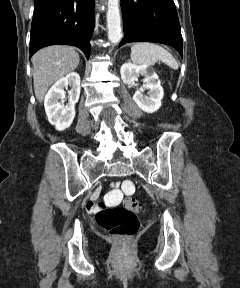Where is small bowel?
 Here are the masks:
<instances>
[{"label":"small bowel","instance_id":"1","mask_svg":"<svg viewBox=\"0 0 240 288\" xmlns=\"http://www.w3.org/2000/svg\"><path fill=\"white\" fill-rule=\"evenodd\" d=\"M89 209H90V210H94L95 207L91 204V205L89 206Z\"/></svg>","mask_w":240,"mask_h":288}]
</instances>
